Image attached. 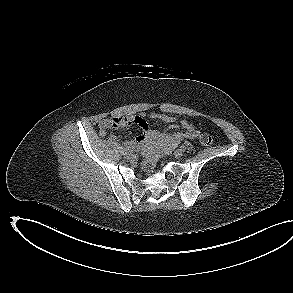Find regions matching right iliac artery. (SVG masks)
<instances>
[{
  "label": "right iliac artery",
  "mask_w": 293,
  "mask_h": 293,
  "mask_svg": "<svg viewBox=\"0 0 293 293\" xmlns=\"http://www.w3.org/2000/svg\"><path fill=\"white\" fill-rule=\"evenodd\" d=\"M119 148H120L121 152H124L125 150H129V148H131V147L120 146Z\"/></svg>",
  "instance_id": "right-iliac-artery-1"
}]
</instances>
